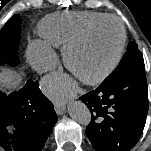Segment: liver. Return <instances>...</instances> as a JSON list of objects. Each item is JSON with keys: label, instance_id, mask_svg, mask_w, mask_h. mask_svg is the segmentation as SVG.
<instances>
[{"label": "liver", "instance_id": "obj_1", "mask_svg": "<svg viewBox=\"0 0 151 151\" xmlns=\"http://www.w3.org/2000/svg\"><path fill=\"white\" fill-rule=\"evenodd\" d=\"M21 80V76L14 74L13 72L6 70L0 72V86L16 89Z\"/></svg>", "mask_w": 151, "mask_h": 151}]
</instances>
